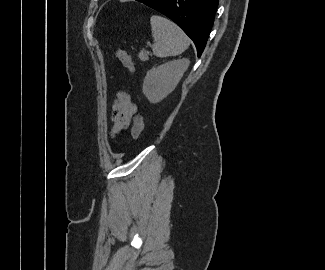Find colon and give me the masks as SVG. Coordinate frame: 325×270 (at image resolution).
Returning <instances> with one entry per match:
<instances>
[{
	"mask_svg": "<svg viewBox=\"0 0 325 270\" xmlns=\"http://www.w3.org/2000/svg\"><path fill=\"white\" fill-rule=\"evenodd\" d=\"M116 57L119 59V61L127 70H129L130 72H134L135 70L134 63L130 55L125 50L117 49ZM143 128H144L143 117L140 114H138L134 119V124L131 131V135L134 140H136L140 136L141 132L143 131Z\"/></svg>",
	"mask_w": 325,
	"mask_h": 270,
	"instance_id": "obj_1",
	"label": "colon"
}]
</instances>
